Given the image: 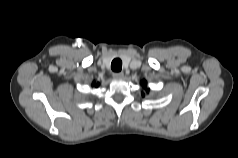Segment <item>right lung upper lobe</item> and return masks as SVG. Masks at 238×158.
I'll return each mask as SVG.
<instances>
[{"label":"right lung upper lobe","instance_id":"right-lung-upper-lobe-1","mask_svg":"<svg viewBox=\"0 0 238 158\" xmlns=\"http://www.w3.org/2000/svg\"><path fill=\"white\" fill-rule=\"evenodd\" d=\"M92 86L94 87H98L99 86V83H96L95 81L92 83Z\"/></svg>","mask_w":238,"mask_h":158}]
</instances>
